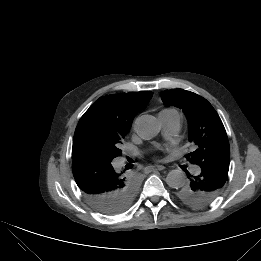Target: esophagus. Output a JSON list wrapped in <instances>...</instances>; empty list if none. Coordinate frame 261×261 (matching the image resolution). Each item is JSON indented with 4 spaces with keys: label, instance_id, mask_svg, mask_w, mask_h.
<instances>
[{
    "label": "esophagus",
    "instance_id": "obj_1",
    "mask_svg": "<svg viewBox=\"0 0 261 261\" xmlns=\"http://www.w3.org/2000/svg\"><path fill=\"white\" fill-rule=\"evenodd\" d=\"M164 169H165L164 166L155 165V166H152V167L148 168V169L146 170V172L162 171V170H164Z\"/></svg>",
    "mask_w": 261,
    "mask_h": 261
}]
</instances>
